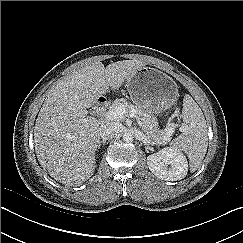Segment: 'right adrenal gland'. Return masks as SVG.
I'll return each instance as SVG.
<instances>
[{
    "label": "right adrenal gland",
    "instance_id": "obj_1",
    "mask_svg": "<svg viewBox=\"0 0 243 243\" xmlns=\"http://www.w3.org/2000/svg\"><path fill=\"white\" fill-rule=\"evenodd\" d=\"M105 145L106 144V140H102L98 142L97 148L100 149L101 145Z\"/></svg>",
    "mask_w": 243,
    "mask_h": 243
}]
</instances>
